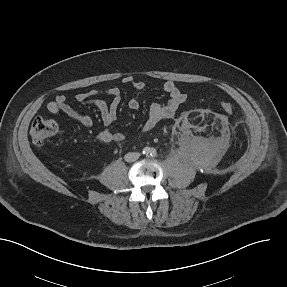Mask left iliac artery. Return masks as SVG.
Masks as SVG:
<instances>
[{"label":"left iliac artery","instance_id":"1","mask_svg":"<svg viewBox=\"0 0 287 287\" xmlns=\"http://www.w3.org/2000/svg\"><path fill=\"white\" fill-rule=\"evenodd\" d=\"M150 155H151V157H156L157 156L156 150L155 149H151Z\"/></svg>","mask_w":287,"mask_h":287}]
</instances>
